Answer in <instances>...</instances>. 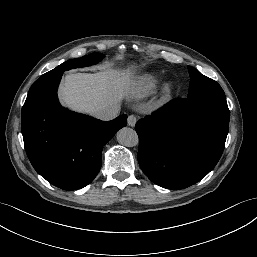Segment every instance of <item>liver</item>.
<instances>
[{
  "label": "liver",
  "instance_id": "obj_1",
  "mask_svg": "<svg viewBox=\"0 0 257 257\" xmlns=\"http://www.w3.org/2000/svg\"><path fill=\"white\" fill-rule=\"evenodd\" d=\"M134 72L104 69L96 73H76L65 77L59 90L68 108L92 115L96 108L118 105L134 92Z\"/></svg>",
  "mask_w": 257,
  "mask_h": 257
}]
</instances>
